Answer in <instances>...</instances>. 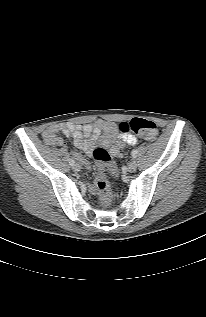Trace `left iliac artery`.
<instances>
[{
    "label": "left iliac artery",
    "instance_id": "44dca946",
    "mask_svg": "<svg viewBox=\"0 0 206 317\" xmlns=\"http://www.w3.org/2000/svg\"><path fill=\"white\" fill-rule=\"evenodd\" d=\"M137 150H133L132 152H131V156L133 157V158H135L136 156H137Z\"/></svg>",
    "mask_w": 206,
    "mask_h": 317
}]
</instances>
